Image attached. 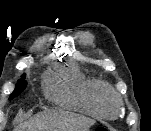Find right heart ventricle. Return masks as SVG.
Instances as JSON below:
<instances>
[{
  "label": "right heart ventricle",
  "mask_w": 151,
  "mask_h": 131,
  "mask_svg": "<svg viewBox=\"0 0 151 131\" xmlns=\"http://www.w3.org/2000/svg\"><path fill=\"white\" fill-rule=\"evenodd\" d=\"M107 85L71 65L49 73L43 84L46 97L55 103L102 118L99 99Z\"/></svg>",
  "instance_id": "right-heart-ventricle-1"
}]
</instances>
